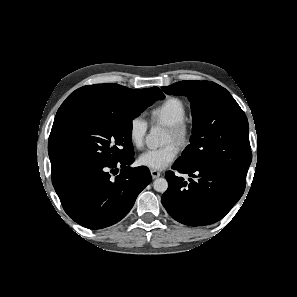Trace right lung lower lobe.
Returning <instances> with one entry per match:
<instances>
[{"mask_svg": "<svg viewBox=\"0 0 297 297\" xmlns=\"http://www.w3.org/2000/svg\"><path fill=\"white\" fill-rule=\"evenodd\" d=\"M133 162L134 154L108 162H90L52 178L65 212L89 229L119 222L152 180L147 167L131 168L129 165Z\"/></svg>", "mask_w": 297, "mask_h": 297, "instance_id": "1", "label": "right lung lower lobe"}]
</instances>
